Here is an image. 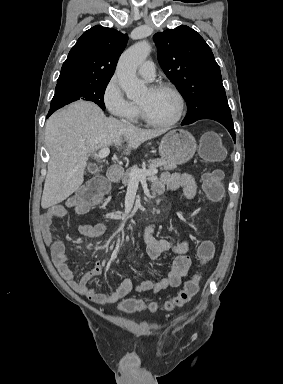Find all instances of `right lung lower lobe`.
<instances>
[{"label":"right lung lower lobe","mask_w":283,"mask_h":384,"mask_svg":"<svg viewBox=\"0 0 283 384\" xmlns=\"http://www.w3.org/2000/svg\"><path fill=\"white\" fill-rule=\"evenodd\" d=\"M55 110L50 109L47 115V118L54 112Z\"/></svg>","instance_id":"right-lung-lower-lobe-1"}]
</instances>
